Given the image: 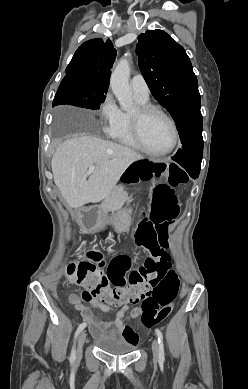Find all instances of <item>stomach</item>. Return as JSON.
<instances>
[{"label":"stomach","mask_w":248,"mask_h":389,"mask_svg":"<svg viewBox=\"0 0 248 389\" xmlns=\"http://www.w3.org/2000/svg\"><path fill=\"white\" fill-rule=\"evenodd\" d=\"M101 209L98 207H90L89 213L84 214V219L89 220L90 226H96L95 230L99 234H103L104 231L108 230L107 226H100V220H116L115 224L116 233L118 235H127L128 234V225L129 220L133 218V215L130 213L131 209L128 207H118L113 208V213H100Z\"/></svg>","instance_id":"1"}]
</instances>
